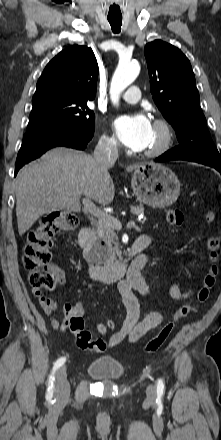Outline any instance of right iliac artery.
Wrapping results in <instances>:
<instances>
[{
    "label": "right iliac artery",
    "mask_w": 221,
    "mask_h": 440,
    "mask_svg": "<svg viewBox=\"0 0 221 440\" xmlns=\"http://www.w3.org/2000/svg\"><path fill=\"white\" fill-rule=\"evenodd\" d=\"M66 359L64 357L59 358L53 366L52 374L49 377V386L47 396L52 397L54 392V382H55V372L65 363Z\"/></svg>",
    "instance_id": "1"
}]
</instances>
